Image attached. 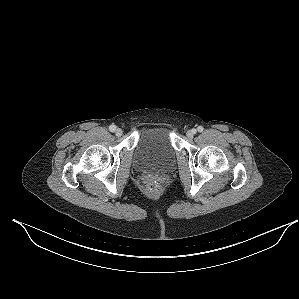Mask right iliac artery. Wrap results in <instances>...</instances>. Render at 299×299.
Here are the masks:
<instances>
[{
	"label": "right iliac artery",
	"mask_w": 299,
	"mask_h": 299,
	"mask_svg": "<svg viewBox=\"0 0 299 299\" xmlns=\"http://www.w3.org/2000/svg\"><path fill=\"white\" fill-rule=\"evenodd\" d=\"M109 130H110L111 132H114V131L116 130V126H115L114 124L110 125V126H109Z\"/></svg>",
	"instance_id": "obj_1"
}]
</instances>
